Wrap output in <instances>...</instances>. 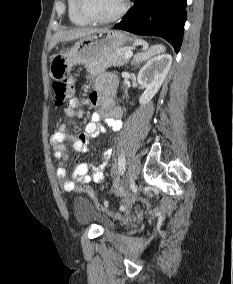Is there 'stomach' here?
Returning <instances> with one entry per match:
<instances>
[{
	"label": "stomach",
	"mask_w": 233,
	"mask_h": 284,
	"mask_svg": "<svg viewBox=\"0 0 233 284\" xmlns=\"http://www.w3.org/2000/svg\"><path fill=\"white\" fill-rule=\"evenodd\" d=\"M129 42L131 38L127 34L109 29L83 37L69 50L51 56L50 77L53 80H63L70 74L73 66L91 63Z\"/></svg>",
	"instance_id": "obj_1"
}]
</instances>
